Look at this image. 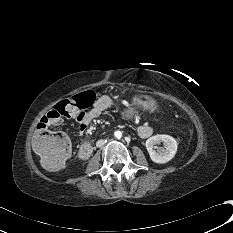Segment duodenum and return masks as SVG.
Masks as SVG:
<instances>
[{
    "label": "duodenum",
    "instance_id": "obj_1",
    "mask_svg": "<svg viewBox=\"0 0 233 233\" xmlns=\"http://www.w3.org/2000/svg\"><path fill=\"white\" fill-rule=\"evenodd\" d=\"M93 149H94V146L90 143L82 144L79 149L80 158L83 160H87L91 156Z\"/></svg>",
    "mask_w": 233,
    "mask_h": 233
}]
</instances>
